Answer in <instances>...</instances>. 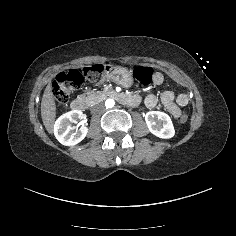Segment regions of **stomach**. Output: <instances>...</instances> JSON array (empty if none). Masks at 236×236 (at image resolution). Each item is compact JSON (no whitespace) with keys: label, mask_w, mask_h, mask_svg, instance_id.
Returning <instances> with one entry per match:
<instances>
[{"label":"stomach","mask_w":236,"mask_h":236,"mask_svg":"<svg viewBox=\"0 0 236 236\" xmlns=\"http://www.w3.org/2000/svg\"><path fill=\"white\" fill-rule=\"evenodd\" d=\"M104 73L107 79L124 88H129L133 84L132 71L125 67L105 65Z\"/></svg>","instance_id":"obj_1"}]
</instances>
